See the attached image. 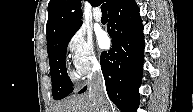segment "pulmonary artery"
I'll return each instance as SVG.
<instances>
[{"label": "pulmonary artery", "instance_id": "e3ab8cb5", "mask_svg": "<svg viewBox=\"0 0 193 112\" xmlns=\"http://www.w3.org/2000/svg\"><path fill=\"white\" fill-rule=\"evenodd\" d=\"M94 19L97 21V22H101L102 21V15H101V12L99 10H96L94 12Z\"/></svg>", "mask_w": 193, "mask_h": 112}]
</instances>
